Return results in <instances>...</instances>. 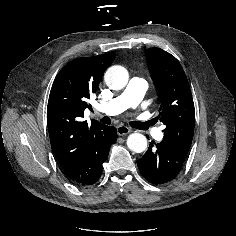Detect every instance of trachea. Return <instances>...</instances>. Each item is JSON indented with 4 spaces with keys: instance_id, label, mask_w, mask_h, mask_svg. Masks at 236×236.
<instances>
[{
    "instance_id": "trachea-1",
    "label": "trachea",
    "mask_w": 236,
    "mask_h": 236,
    "mask_svg": "<svg viewBox=\"0 0 236 236\" xmlns=\"http://www.w3.org/2000/svg\"><path fill=\"white\" fill-rule=\"evenodd\" d=\"M100 121H101L102 123L108 124V125L111 123V119H110L108 116L102 117ZM139 125L142 126L143 124L139 123Z\"/></svg>"
}]
</instances>
